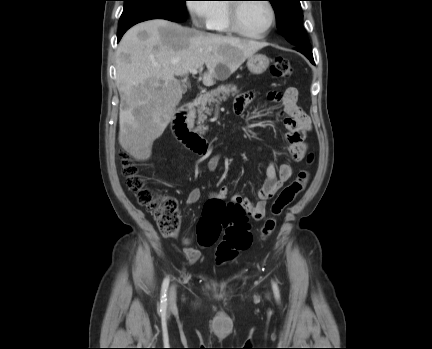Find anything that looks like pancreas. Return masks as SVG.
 Here are the masks:
<instances>
[{"label":"pancreas","mask_w":432,"mask_h":349,"mask_svg":"<svg viewBox=\"0 0 432 349\" xmlns=\"http://www.w3.org/2000/svg\"><path fill=\"white\" fill-rule=\"evenodd\" d=\"M238 93L235 85H220L210 92L201 94L197 98V113H198V124L197 131L204 134L207 128L202 127L200 124L207 119V115H210L213 111V106H217L222 101L226 100L230 95L235 96Z\"/></svg>","instance_id":"1"}]
</instances>
